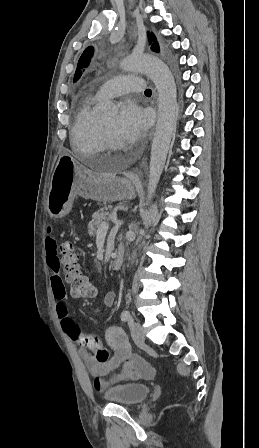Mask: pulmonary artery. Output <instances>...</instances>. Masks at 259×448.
<instances>
[{
    "mask_svg": "<svg viewBox=\"0 0 259 448\" xmlns=\"http://www.w3.org/2000/svg\"><path fill=\"white\" fill-rule=\"evenodd\" d=\"M136 53H134L135 55ZM126 70L128 71H135V69L131 67H126ZM136 78V76L133 75H120L116 76L115 78L111 79L110 81L106 82L102 86L99 87L97 94L101 99H108L114 96H118L121 94H124L128 92L129 90L119 86L117 83L119 81L125 80V79H131Z\"/></svg>",
    "mask_w": 259,
    "mask_h": 448,
    "instance_id": "obj_1",
    "label": "pulmonary artery"
}]
</instances>
